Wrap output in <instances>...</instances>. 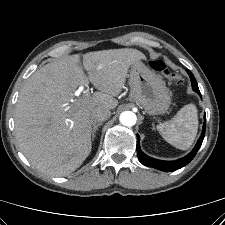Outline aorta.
Wrapping results in <instances>:
<instances>
[{
	"label": "aorta",
	"mask_w": 225,
	"mask_h": 225,
	"mask_svg": "<svg viewBox=\"0 0 225 225\" xmlns=\"http://www.w3.org/2000/svg\"><path fill=\"white\" fill-rule=\"evenodd\" d=\"M119 121L122 125L131 127L136 124L137 117L132 111H124L120 114Z\"/></svg>",
	"instance_id": "762f6f07"
}]
</instances>
